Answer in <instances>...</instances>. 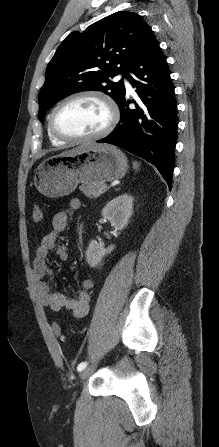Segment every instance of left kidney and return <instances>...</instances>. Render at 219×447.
<instances>
[{"label":"left kidney","instance_id":"5707ae66","mask_svg":"<svg viewBox=\"0 0 219 447\" xmlns=\"http://www.w3.org/2000/svg\"><path fill=\"white\" fill-rule=\"evenodd\" d=\"M133 200V197L127 193L112 199L102 210L104 220L109 221L115 230L121 231L124 229L133 213ZM114 249V245L105 249L96 240H92L86 251L87 263L92 268L96 267L101 263L103 257L110 254Z\"/></svg>","mask_w":219,"mask_h":447}]
</instances>
